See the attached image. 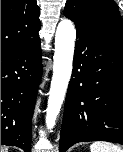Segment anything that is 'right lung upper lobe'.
<instances>
[{"mask_svg":"<svg viewBox=\"0 0 123 152\" xmlns=\"http://www.w3.org/2000/svg\"><path fill=\"white\" fill-rule=\"evenodd\" d=\"M40 26L36 0H1V52L39 39Z\"/></svg>","mask_w":123,"mask_h":152,"instance_id":"cb5924a9","label":"right lung upper lobe"}]
</instances>
